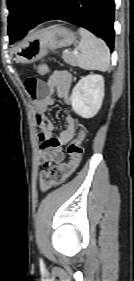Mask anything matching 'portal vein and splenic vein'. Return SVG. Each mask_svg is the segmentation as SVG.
<instances>
[{
  "mask_svg": "<svg viewBox=\"0 0 134 281\" xmlns=\"http://www.w3.org/2000/svg\"><path fill=\"white\" fill-rule=\"evenodd\" d=\"M73 54H74V55H77V54H78V51H77V50H74V51H73Z\"/></svg>",
  "mask_w": 134,
  "mask_h": 281,
  "instance_id": "portal-vein-and-splenic-vein-1",
  "label": "portal vein and splenic vein"
}]
</instances>
